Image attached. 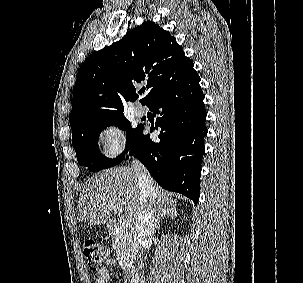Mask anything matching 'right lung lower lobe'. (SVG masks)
Wrapping results in <instances>:
<instances>
[{
	"label": "right lung lower lobe",
	"mask_w": 303,
	"mask_h": 283,
	"mask_svg": "<svg viewBox=\"0 0 303 283\" xmlns=\"http://www.w3.org/2000/svg\"><path fill=\"white\" fill-rule=\"evenodd\" d=\"M199 82L196 72L150 102L147 107L157 117L153 129L161 128L159 141L154 142L149 135H144L143 126L129 151L161 187L181 193L195 204L200 196L203 140L207 135V113Z\"/></svg>",
	"instance_id": "obj_1"
}]
</instances>
